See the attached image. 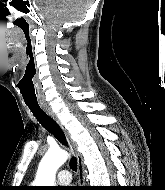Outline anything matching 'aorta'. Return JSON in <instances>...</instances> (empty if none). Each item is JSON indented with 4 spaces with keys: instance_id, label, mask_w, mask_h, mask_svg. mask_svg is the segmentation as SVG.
<instances>
[{
    "instance_id": "obj_1",
    "label": "aorta",
    "mask_w": 165,
    "mask_h": 190,
    "mask_svg": "<svg viewBox=\"0 0 165 190\" xmlns=\"http://www.w3.org/2000/svg\"><path fill=\"white\" fill-rule=\"evenodd\" d=\"M67 158L66 151L60 148L49 149L39 165L36 184L38 186H54L56 172Z\"/></svg>"
}]
</instances>
